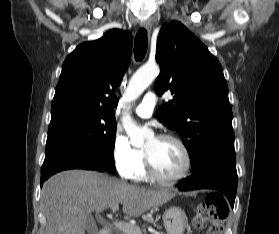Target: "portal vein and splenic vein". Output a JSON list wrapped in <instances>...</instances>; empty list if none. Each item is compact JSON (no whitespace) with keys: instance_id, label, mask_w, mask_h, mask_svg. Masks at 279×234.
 Wrapping results in <instances>:
<instances>
[{"instance_id":"1","label":"portal vein and splenic vein","mask_w":279,"mask_h":234,"mask_svg":"<svg viewBox=\"0 0 279 234\" xmlns=\"http://www.w3.org/2000/svg\"><path fill=\"white\" fill-rule=\"evenodd\" d=\"M118 208H119V205L111 206L112 211H116V210H118ZM114 225H115V227L119 228L120 230H122L123 232H126V233L133 231L132 226L125 222L114 223Z\"/></svg>"}]
</instances>
